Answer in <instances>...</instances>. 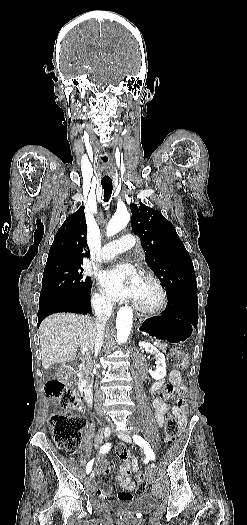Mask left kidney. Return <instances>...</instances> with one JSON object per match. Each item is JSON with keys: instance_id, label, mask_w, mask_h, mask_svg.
Here are the masks:
<instances>
[{"instance_id": "1", "label": "left kidney", "mask_w": 247, "mask_h": 525, "mask_svg": "<svg viewBox=\"0 0 247 525\" xmlns=\"http://www.w3.org/2000/svg\"><path fill=\"white\" fill-rule=\"evenodd\" d=\"M139 347H143L147 353H151V355H154V359H156V365H157V371H155V375H166V363H165V357L163 353H160L154 345H151V343H144V341H140ZM150 375H154L153 371H150Z\"/></svg>"}]
</instances>
